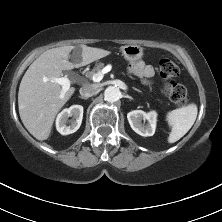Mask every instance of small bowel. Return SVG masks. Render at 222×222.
I'll list each match as a JSON object with an SVG mask.
<instances>
[{
    "instance_id": "c3829d8e",
    "label": "small bowel",
    "mask_w": 222,
    "mask_h": 222,
    "mask_svg": "<svg viewBox=\"0 0 222 222\" xmlns=\"http://www.w3.org/2000/svg\"><path fill=\"white\" fill-rule=\"evenodd\" d=\"M129 70L132 74L140 77L146 84L151 83V78L155 73L153 66L146 64L144 61H138L132 64Z\"/></svg>"
}]
</instances>
